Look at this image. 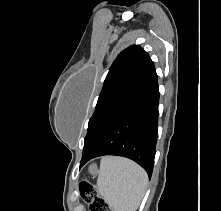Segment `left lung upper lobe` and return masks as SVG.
I'll list each match as a JSON object with an SVG mask.
<instances>
[{"label":"left lung upper lobe","instance_id":"left-lung-upper-lobe-1","mask_svg":"<svg viewBox=\"0 0 221 211\" xmlns=\"http://www.w3.org/2000/svg\"><path fill=\"white\" fill-rule=\"evenodd\" d=\"M153 69L154 64L149 55L138 45L126 48L117 56L106 76L95 112L89 120L83 155L138 94Z\"/></svg>","mask_w":221,"mask_h":211}]
</instances>
